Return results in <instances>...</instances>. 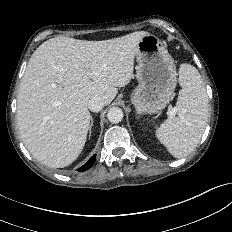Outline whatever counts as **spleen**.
Returning <instances> with one entry per match:
<instances>
[{
	"label": "spleen",
	"mask_w": 232,
	"mask_h": 232,
	"mask_svg": "<svg viewBox=\"0 0 232 232\" xmlns=\"http://www.w3.org/2000/svg\"><path fill=\"white\" fill-rule=\"evenodd\" d=\"M178 116L156 130L157 138L175 158L187 156L199 143L208 121V98L198 70L187 63L179 68Z\"/></svg>",
	"instance_id": "1"
}]
</instances>
